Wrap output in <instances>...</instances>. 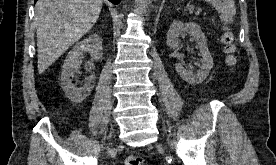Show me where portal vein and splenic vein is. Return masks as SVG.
I'll use <instances>...</instances> for the list:
<instances>
[{"instance_id": "18ae733b", "label": "portal vein and splenic vein", "mask_w": 276, "mask_h": 165, "mask_svg": "<svg viewBox=\"0 0 276 165\" xmlns=\"http://www.w3.org/2000/svg\"><path fill=\"white\" fill-rule=\"evenodd\" d=\"M193 9H194V7L193 6H191L190 7V10H192L193 11ZM201 12V9H198V11L196 12L197 14H199Z\"/></svg>"}]
</instances>
